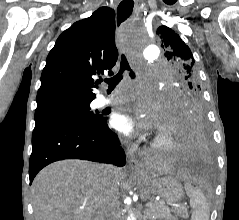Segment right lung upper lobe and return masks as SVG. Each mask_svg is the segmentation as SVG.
<instances>
[{"instance_id": "right-lung-upper-lobe-1", "label": "right lung upper lobe", "mask_w": 239, "mask_h": 220, "mask_svg": "<svg viewBox=\"0 0 239 220\" xmlns=\"http://www.w3.org/2000/svg\"><path fill=\"white\" fill-rule=\"evenodd\" d=\"M115 12L101 7L65 30L46 59L37 108L91 102L97 88L92 76L111 73L118 58Z\"/></svg>"}]
</instances>
